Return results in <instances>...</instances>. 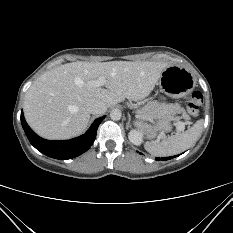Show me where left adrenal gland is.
I'll return each mask as SVG.
<instances>
[{"mask_svg":"<svg viewBox=\"0 0 233 233\" xmlns=\"http://www.w3.org/2000/svg\"><path fill=\"white\" fill-rule=\"evenodd\" d=\"M130 122H131V116L130 114H128V122L126 124V129L128 130L129 126H130Z\"/></svg>","mask_w":233,"mask_h":233,"instance_id":"1","label":"left adrenal gland"}]
</instances>
